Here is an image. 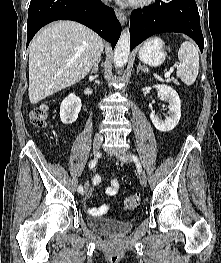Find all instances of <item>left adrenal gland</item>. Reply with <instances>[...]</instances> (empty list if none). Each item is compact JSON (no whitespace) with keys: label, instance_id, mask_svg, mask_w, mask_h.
<instances>
[{"label":"left adrenal gland","instance_id":"obj_1","mask_svg":"<svg viewBox=\"0 0 221 263\" xmlns=\"http://www.w3.org/2000/svg\"><path fill=\"white\" fill-rule=\"evenodd\" d=\"M140 70L143 72H148V68L145 66H141V63L138 64L137 75L139 74Z\"/></svg>","mask_w":221,"mask_h":263}]
</instances>
